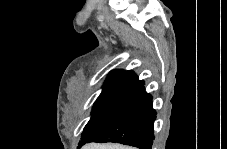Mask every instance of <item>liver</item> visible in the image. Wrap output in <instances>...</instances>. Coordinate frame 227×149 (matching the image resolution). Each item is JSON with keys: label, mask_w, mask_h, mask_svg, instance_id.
Listing matches in <instances>:
<instances>
[{"label": "liver", "mask_w": 227, "mask_h": 149, "mask_svg": "<svg viewBox=\"0 0 227 149\" xmlns=\"http://www.w3.org/2000/svg\"><path fill=\"white\" fill-rule=\"evenodd\" d=\"M83 149H131L127 146L119 145V144H96L91 143L85 145Z\"/></svg>", "instance_id": "liver-1"}]
</instances>
